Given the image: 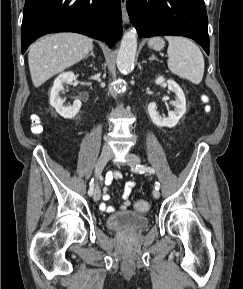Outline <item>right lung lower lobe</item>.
Segmentation results:
<instances>
[{
	"label": "right lung lower lobe",
	"mask_w": 243,
	"mask_h": 289,
	"mask_svg": "<svg viewBox=\"0 0 243 289\" xmlns=\"http://www.w3.org/2000/svg\"><path fill=\"white\" fill-rule=\"evenodd\" d=\"M120 0H26L22 53L40 36L76 32L112 47L122 34Z\"/></svg>",
	"instance_id": "right-lung-lower-lobe-1"
}]
</instances>
